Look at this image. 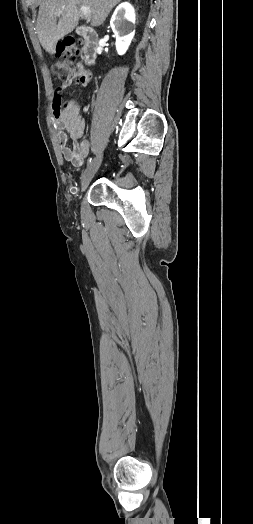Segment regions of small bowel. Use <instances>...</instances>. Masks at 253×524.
Returning a JSON list of instances; mask_svg holds the SVG:
<instances>
[{
    "instance_id": "1",
    "label": "small bowel",
    "mask_w": 253,
    "mask_h": 524,
    "mask_svg": "<svg viewBox=\"0 0 253 524\" xmlns=\"http://www.w3.org/2000/svg\"><path fill=\"white\" fill-rule=\"evenodd\" d=\"M64 87H59L61 91ZM60 98L57 94L54 102ZM56 116V115H55ZM56 119V135L60 146L62 156L74 166H81L89 155L90 143L87 140L80 139L83 137L86 123L81 115V108L78 103L69 101ZM68 139L71 144L68 145Z\"/></svg>"
}]
</instances>
